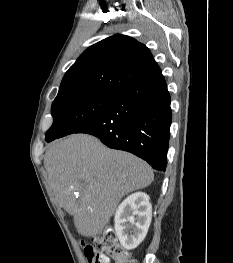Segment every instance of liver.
<instances>
[{"mask_svg": "<svg viewBox=\"0 0 233 263\" xmlns=\"http://www.w3.org/2000/svg\"><path fill=\"white\" fill-rule=\"evenodd\" d=\"M44 166L56 201L74 217L77 232L84 237L100 234L120 200L154 178L143 160L109 149L87 134L52 142Z\"/></svg>", "mask_w": 233, "mask_h": 263, "instance_id": "liver-1", "label": "liver"}]
</instances>
